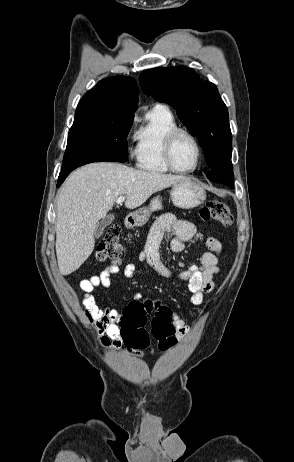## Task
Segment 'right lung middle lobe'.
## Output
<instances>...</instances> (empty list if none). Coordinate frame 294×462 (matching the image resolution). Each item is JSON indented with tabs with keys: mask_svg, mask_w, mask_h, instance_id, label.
Listing matches in <instances>:
<instances>
[{
	"mask_svg": "<svg viewBox=\"0 0 294 462\" xmlns=\"http://www.w3.org/2000/svg\"><path fill=\"white\" fill-rule=\"evenodd\" d=\"M133 118L134 114L112 111H76L61 171L92 162H126Z\"/></svg>",
	"mask_w": 294,
	"mask_h": 462,
	"instance_id": "obj_1",
	"label": "right lung middle lobe"
}]
</instances>
